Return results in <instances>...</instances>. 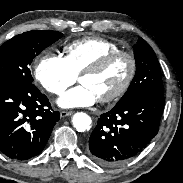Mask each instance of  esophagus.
Returning <instances> with one entry per match:
<instances>
[{
  "label": "esophagus",
  "mask_w": 183,
  "mask_h": 183,
  "mask_svg": "<svg viewBox=\"0 0 183 183\" xmlns=\"http://www.w3.org/2000/svg\"><path fill=\"white\" fill-rule=\"evenodd\" d=\"M71 114H72L71 111H61V112H60V116H61L62 118L66 117V116H70Z\"/></svg>",
  "instance_id": "esophagus-1"
}]
</instances>
